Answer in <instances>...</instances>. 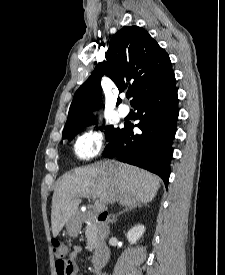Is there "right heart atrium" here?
Segmentation results:
<instances>
[{
  "mask_svg": "<svg viewBox=\"0 0 225 275\" xmlns=\"http://www.w3.org/2000/svg\"><path fill=\"white\" fill-rule=\"evenodd\" d=\"M105 135L101 130L82 133L75 141L74 151L81 160L95 157L104 146Z\"/></svg>",
  "mask_w": 225,
  "mask_h": 275,
  "instance_id": "right-heart-atrium-1",
  "label": "right heart atrium"
}]
</instances>
